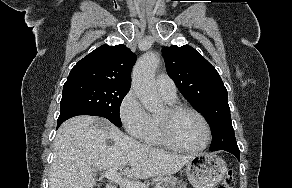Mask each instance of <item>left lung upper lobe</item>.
<instances>
[{"label": "left lung upper lobe", "mask_w": 292, "mask_h": 188, "mask_svg": "<svg viewBox=\"0 0 292 188\" xmlns=\"http://www.w3.org/2000/svg\"><path fill=\"white\" fill-rule=\"evenodd\" d=\"M162 53L168 75L210 125V150L236 145L227 90L217 70L189 45L163 47Z\"/></svg>", "instance_id": "obj_1"}]
</instances>
